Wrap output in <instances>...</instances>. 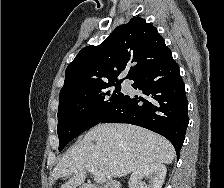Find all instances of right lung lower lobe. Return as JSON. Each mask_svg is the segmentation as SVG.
Returning a JSON list of instances; mask_svg holds the SVG:
<instances>
[{"label": "right lung lower lobe", "mask_w": 224, "mask_h": 188, "mask_svg": "<svg viewBox=\"0 0 224 188\" xmlns=\"http://www.w3.org/2000/svg\"><path fill=\"white\" fill-rule=\"evenodd\" d=\"M132 80L133 88L147 97L126 95L101 123H129L152 130L173 144L179 158L189 123L188 100L172 54Z\"/></svg>", "instance_id": "98d812e1"}]
</instances>
